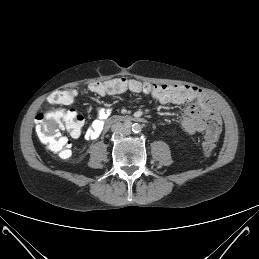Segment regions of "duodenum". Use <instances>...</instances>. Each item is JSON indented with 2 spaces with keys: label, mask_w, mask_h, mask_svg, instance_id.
<instances>
[{
  "label": "duodenum",
  "mask_w": 259,
  "mask_h": 259,
  "mask_svg": "<svg viewBox=\"0 0 259 259\" xmlns=\"http://www.w3.org/2000/svg\"><path fill=\"white\" fill-rule=\"evenodd\" d=\"M133 122L144 123L146 120L143 117H136L131 115H114L105 120L104 129H108L110 126L116 123L128 124Z\"/></svg>",
  "instance_id": "410a0bca"
}]
</instances>
